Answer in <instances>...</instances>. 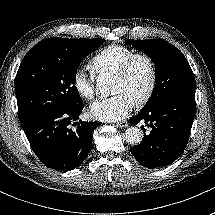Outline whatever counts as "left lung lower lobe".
Instances as JSON below:
<instances>
[{
	"mask_svg": "<svg viewBox=\"0 0 215 215\" xmlns=\"http://www.w3.org/2000/svg\"><path fill=\"white\" fill-rule=\"evenodd\" d=\"M195 112V89H190L169 96L130 118V124L144 121L146 126L151 127L150 134H144L141 143L131 147L136 160L148 168H159L174 162L188 143Z\"/></svg>",
	"mask_w": 215,
	"mask_h": 215,
	"instance_id": "0a47b994",
	"label": "left lung lower lobe"
}]
</instances>
